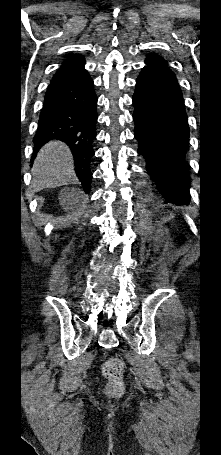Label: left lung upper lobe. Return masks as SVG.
<instances>
[{"mask_svg":"<svg viewBox=\"0 0 221 455\" xmlns=\"http://www.w3.org/2000/svg\"><path fill=\"white\" fill-rule=\"evenodd\" d=\"M146 64H163L167 66L166 61L157 54H149L145 60Z\"/></svg>","mask_w":221,"mask_h":455,"instance_id":"left-lung-upper-lobe-1","label":"left lung upper lobe"}]
</instances>
